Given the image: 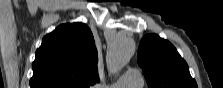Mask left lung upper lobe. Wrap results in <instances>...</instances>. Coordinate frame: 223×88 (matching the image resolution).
Wrapping results in <instances>:
<instances>
[{"mask_svg": "<svg viewBox=\"0 0 223 88\" xmlns=\"http://www.w3.org/2000/svg\"><path fill=\"white\" fill-rule=\"evenodd\" d=\"M137 61L149 88H197L176 48L158 35L142 38Z\"/></svg>", "mask_w": 223, "mask_h": 88, "instance_id": "left-lung-upper-lobe-1", "label": "left lung upper lobe"}]
</instances>
